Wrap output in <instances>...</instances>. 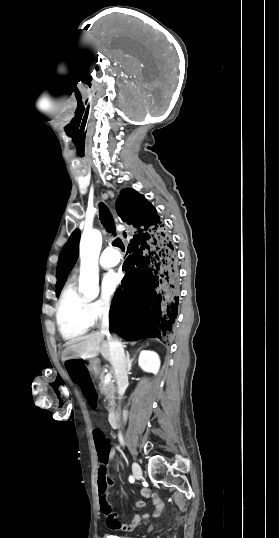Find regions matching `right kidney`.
Returning a JSON list of instances; mask_svg holds the SVG:
<instances>
[{
    "instance_id": "obj_1",
    "label": "right kidney",
    "mask_w": 279,
    "mask_h": 538,
    "mask_svg": "<svg viewBox=\"0 0 279 538\" xmlns=\"http://www.w3.org/2000/svg\"><path fill=\"white\" fill-rule=\"evenodd\" d=\"M138 364L144 372H152V374H157L160 368L159 356L155 352H148V350H143L139 356Z\"/></svg>"
}]
</instances>
